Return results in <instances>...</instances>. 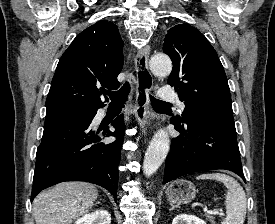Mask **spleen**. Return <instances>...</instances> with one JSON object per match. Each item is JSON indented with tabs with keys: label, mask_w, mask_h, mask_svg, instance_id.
I'll list each match as a JSON object with an SVG mask.
<instances>
[{
	"label": "spleen",
	"mask_w": 275,
	"mask_h": 224,
	"mask_svg": "<svg viewBox=\"0 0 275 224\" xmlns=\"http://www.w3.org/2000/svg\"><path fill=\"white\" fill-rule=\"evenodd\" d=\"M196 179L221 181L228 189L225 195L226 218L222 224H244L246 217V195L240 184L223 173L201 174Z\"/></svg>",
	"instance_id": "spleen-1"
}]
</instances>
